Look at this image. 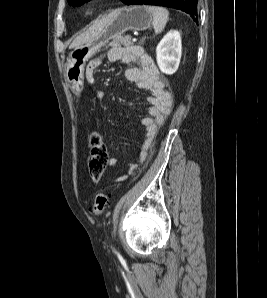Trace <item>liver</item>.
<instances>
[{
    "instance_id": "liver-1",
    "label": "liver",
    "mask_w": 267,
    "mask_h": 298,
    "mask_svg": "<svg viewBox=\"0 0 267 298\" xmlns=\"http://www.w3.org/2000/svg\"><path fill=\"white\" fill-rule=\"evenodd\" d=\"M112 19V14H109L102 19L96 21L89 29H87L84 33L77 36L71 45L69 46L70 49H73L77 46H80L84 43H87L97 35H99L105 27L109 24Z\"/></svg>"
}]
</instances>
